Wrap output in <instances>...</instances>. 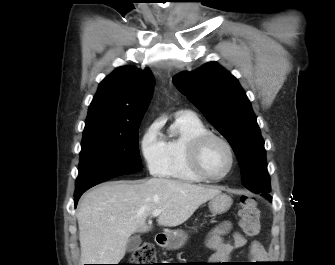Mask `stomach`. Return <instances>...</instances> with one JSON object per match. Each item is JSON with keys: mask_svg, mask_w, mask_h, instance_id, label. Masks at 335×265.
Here are the masks:
<instances>
[{"mask_svg": "<svg viewBox=\"0 0 335 265\" xmlns=\"http://www.w3.org/2000/svg\"><path fill=\"white\" fill-rule=\"evenodd\" d=\"M232 205V198L225 194L219 193L210 199L209 209L213 215L222 214L229 210ZM187 234L178 230L169 234L163 246L169 250L181 248L187 241Z\"/></svg>", "mask_w": 335, "mask_h": 265, "instance_id": "0dacf381", "label": "stomach"}]
</instances>
